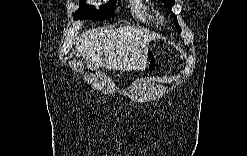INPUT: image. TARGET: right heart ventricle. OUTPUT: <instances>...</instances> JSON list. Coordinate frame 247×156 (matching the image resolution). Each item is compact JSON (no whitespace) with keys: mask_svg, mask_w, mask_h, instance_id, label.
<instances>
[{"mask_svg":"<svg viewBox=\"0 0 247 156\" xmlns=\"http://www.w3.org/2000/svg\"><path fill=\"white\" fill-rule=\"evenodd\" d=\"M132 12L137 17V19L144 23L154 21L157 15L153 8L149 7L146 4H143L142 2L134 3Z\"/></svg>","mask_w":247,"mask_h":156,"instance_id":"1","label":"right heart ventricle"}]
</instances>
